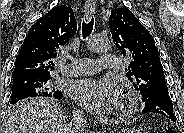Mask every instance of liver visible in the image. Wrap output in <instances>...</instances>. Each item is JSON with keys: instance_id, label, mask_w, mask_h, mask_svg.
Wrapping results in <instances>:
<instances>
[{"instance_id": "6515ba94", "label": "liver", "mask_w": 184, "mask_h": 133, "mask_svg": "<svg viewBox=\"0 0 184 133\" xmlns=\"http://www.w3.org/2000/svg\"><path fill=\"white\" fill-rule=\"evenodd\" d=\"M69 124L53 98H27L10 109L4 133H68Z\"/></svg>"}]
</instances>
